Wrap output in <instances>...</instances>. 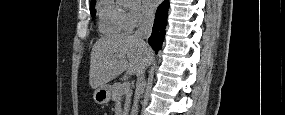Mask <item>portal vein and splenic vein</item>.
Instances as JSON below:
<instances>
[{"mask_svg": "<svg viewBox=\"0 0 285 115\" xmlns=\"http://www.w3.org/2000/svg\"><path fill=\"white\" fill-rule=\"evenodd\" d=\"M125 86H129V83L128 82H124Z\"/></svg>", "mask_w": 285, "mask_h": 115, "instance_id": "portal-vein-and-splenic-vein-1", "label": "portal vein and splenic vein"}]
</instances>
